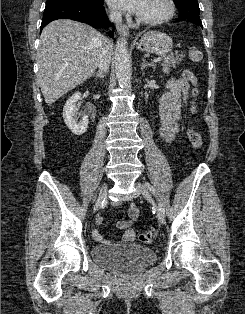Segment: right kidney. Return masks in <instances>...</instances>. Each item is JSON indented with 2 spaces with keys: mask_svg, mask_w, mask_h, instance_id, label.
Returning a JSON list of instances; mask_svg holds the SVG:
<instances>
[{
  "mask_svg": "<svg viewBox=\"0 0 245 314\" xmlns=\"http://www.w3.org/2000/svg\"><path fill=\"white\" fill-rule=\"evenodd\" d=\"M81 99V93H74L65 103L63 108V119L67 127L75 135H82L88 128V117L83 115L82 119L78 122L77 118V106L76 103Z\"/></svg>",
  "mask_w": 245,
  "mask_h": 314,
  "instance_id": "1",
  "label": "right kidney"
}]
</instances>
